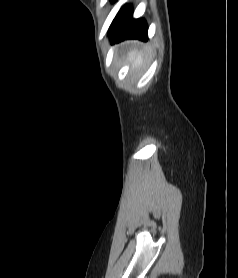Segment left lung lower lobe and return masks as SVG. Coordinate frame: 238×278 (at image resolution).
I'll return each mask as SVG.
<instances>
[{"label":"left lung lower lobe","mask_w":238,"mask_h":278,"mask_svg":"<svg viewBox=\"0 0 238 278\" xmlns=\"http://www.w3.org/2000/svg\"><path fill=\"white\" fill-rule=\"evenodd\" d=\"M109 36L111 43L125 39L147 40V24L144 19H133L130 7H123L110 26Z\"/></svg>","instance_id":"obj_1"}]
</instances>
